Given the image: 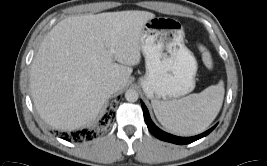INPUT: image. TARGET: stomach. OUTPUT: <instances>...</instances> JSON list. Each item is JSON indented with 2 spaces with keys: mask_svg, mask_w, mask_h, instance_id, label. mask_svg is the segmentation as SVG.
<instances>
[{
  "mask_svg": "<svg viewBox=\"0 0 267 166\" xmlns=\"http://www.w3.org/2000/svg\"><path fill=\"white\" fill-rule=\"evenodd\" d=\"M140 48L146 73L138 82L149 99L171 101L193 91L198 65L177 20H149L142 30Z\"/></svg>",
  "mask_w": 267,
  "mask_h": 166,
  "instance_id": "0dacf381",
  "label": "stomach"
}]
</instances>
